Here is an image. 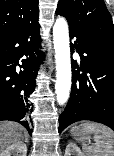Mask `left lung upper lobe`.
Wrapping results in <instances>:
<instances>
[{"label":"left lung upper lobe","instance_id":"obj_1","mask_svg":"<svg viewBox=\"0 0 114 156\" xmlns=\"http://www.w3.org/2000/svg\"><path fill=\"white\" fill-rule=\"evenodd\" d=\"M56 11L68 20L71 27L114 47V25L103 0H60Z\"/></svg>","mask_w":114,"mask_h":156}]
</instances>
